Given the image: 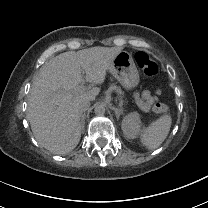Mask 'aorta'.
Returning a JSON list of instances; mask_svg holds the SVG:
<instances>
[{"label": "aorta", "mask_w": 208, "mask_h": 208, "mask_svg": "<svg viewBox=\"0 0 208 208\" xmlns=\"http://www.w3.org/2000/svg\"><path fill=\"white\" fill-rule=\"evenodd\" d=\"M94 113L98 116L104 115L105 113V106L103 104H96L94 108Z\"/></svg>", "instance_id": "aorta-1"}]
</instances>
